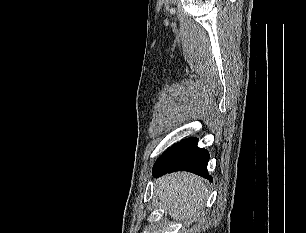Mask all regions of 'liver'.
I'll return each instance as SVG.
<instances>
[{"mask_svg": "<svg viewBox=\"0 0 306 233\" xmlns=\"http://www.w3.org/2000/svg\"><path fill=\"white\" fill-rule=\"evenodd\" d=\"M155 192L171 218L184 222L200 214L208 195L203 180L186 172L172 173L158 179Z\"/></svg>", "mask_w": 306, "mask_h": 233, "instance_id": "liver-1", "label": "liver"}]
</instances>
